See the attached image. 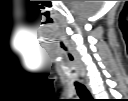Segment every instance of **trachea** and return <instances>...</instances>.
I'll return each mask as SVG.
<instances>
[{"instance_id": "trachea-1", "label": "trachea", "mask_w": 128, "mask_h": 101, "mask_svg": "<svg viewBox=\"0 0 128 101\" xmlns=\"http://www.w3.org/2000/svg\"><path fill=\"white\" fill-rule=\"evenodd\" d=\"M77 94L80 97V101H91L92 97L86 87L79 82H75Z\"/></svg>"}]
</instances>
